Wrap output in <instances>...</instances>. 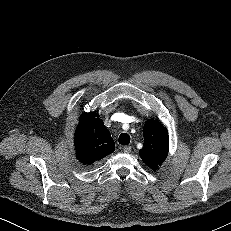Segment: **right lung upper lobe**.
Masks as SVG:
<instances>
[{"label": "right lung upper lobe", "mask_w": 231, "mask_h": 231, "mask_svg": "<svg viewBox=\"0 0 231 231\" xmlns=\"http://www.w3.org/2000/svg\"><path fill=\"white\" fill-rule=\"evenodd\" d=\"M74 146L77 159L84 165H92L115 150L110 132L95 112L80 116Z\"/></svg>", "instance_id": "right-lung-upper-lobe-1"}]
</instances>
